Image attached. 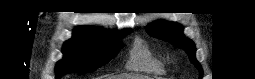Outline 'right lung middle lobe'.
Returning a JSON list of instances; mask_svg holds the SVG:
<instances>
[{"instance_id": "1", "label": "right lung middle lobe", "mask_w": 255, "mask_h": 79, "mask_svg": "<svg viewBox=\"0 0 255 79\" xmlns=\"http://www.w3.org/2000/svg\"><path fill=\"white\" fill-rule=\"evenodd\" d=\"M131 33L130 29L120 32L117 39L74 35L63 46V60L56 66V77L71 72H91L108 63L123 47L118 41Z\"/></svg>"}]
</instances>
